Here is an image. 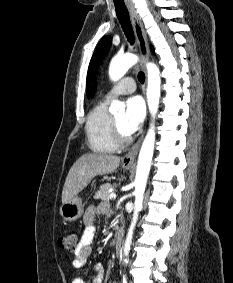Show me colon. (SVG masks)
<instances>
[{
  "mask_svg": "<svg viewBox=\"0 0 233 283\" xmlns=\"http://www.w3.org/2000/svg\"><path fill=\"white\" fill-rule=\"evenodd\" d=\"M77 241H78V233L77 231L72 230L60 236L58 240V244L61 248L65 250L73 251L76 249Z\"/></svg>",
  "mask_w": 233,
  "mask_h": 283,
  "instance_id": "1",
  "label": "colon"
}]
</instances>
